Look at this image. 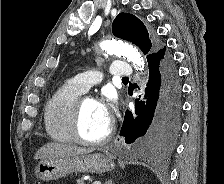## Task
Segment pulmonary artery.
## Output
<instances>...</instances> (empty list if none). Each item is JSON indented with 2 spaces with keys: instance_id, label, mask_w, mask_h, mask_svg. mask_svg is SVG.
<instances>
[{
  "instance_id": "obj_1",
  "label": "pulmonary artery",
  "mask_w": 224,
  "mask_h": 184,
  "mask_svg": "<svg viewBox=\"0 0 224 184\" xmlns=\"http://www.w3.org/2000/svg\"><path fill=\"white\" fill-rule=\"evenodd\" d=\"M110 73L114 77L128 78L133 75V69L126 62L116 61L111 64ZM101 78L99 71H86L74 76L71 82L82 92H87L91 87L97 85Z\"/></svg>"
}]
</instances>
